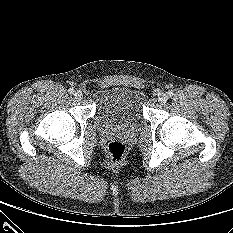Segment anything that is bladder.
I'll return each mask as SVG.
<instances>
[{"label":"bladder","instance_id":"bladder-1","mask_svg":"<svg viewBox=\"0 0 233 233\" xmlns=\"http://www.w3.org/2000/svg\"><path fill=\"white\" fill-rule=\"evenodd\" d=\"M145 94L141 89L111 85L94 94L95 121L105 127L136 128L143 122Z\"/></svg>","mask_w":233,"mask_h":233}]
</instances>
